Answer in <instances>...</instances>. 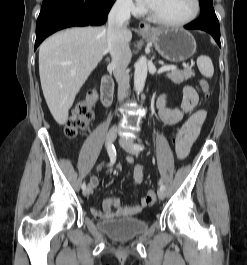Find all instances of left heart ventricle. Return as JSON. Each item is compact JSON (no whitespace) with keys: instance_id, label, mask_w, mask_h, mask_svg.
Masks as SVG:
<instances>
[{"instance_id":"1","label":"left heart ventricle","mask_w":247,"mask_h":265,"mask_svg":"<svg viewBox=\"0 0 247 265\" xmlns=\"http://www.w3.org/2000/svg\"><path fill=\"white\" fill-rule=\"evenodd\" d=\"M150 8L159 16L170 21H181L194 11L193 0H153Z\"/></svg>"}]
</instances>
